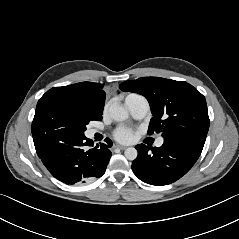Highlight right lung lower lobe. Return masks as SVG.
<instances>
[{
	"label": "right lung lower lobe",
	"instance_id": "98d812e1",
	"mask_svg": "<svg viewBox=\"0 0 239 239\" xmlns=\"http://www.w3.org/2000/svg\"><path fill=\"white\" fill-rule=\"evenodd\" d=\"M111 146L110 140L94 146L85 135H70L36 151L55 178L72 185L101 177L111 157Z\"/></svg>",
	"mask_w": 239,
	"mask_h": 239
}]
</instances>
